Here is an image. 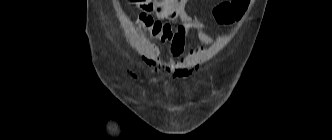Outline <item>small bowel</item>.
<instances>
[{"mask_svg":"<svg viewBox=\"0 0 332 140\" xmlns=\"http://www.w3.org/2000/svg\"><path fill=\"white\" fill-rule=\"evenodd\" d=\"M188 0H178L174 5L181 23L176 31L170 35L155 37L161 43H169V58L167 60L154 59L151 63L155 71H162L169 78L181 79L186 77L188 69L183 62L186 42L189 36L194 32L198 39L206 44H214L215 40L206 32V24L196 15L189 14L186 11ZM160 19L170 18L167 13L157 12Z\"/></svg>","mask_w":332,"mask_h":140,"instance_id":"1","label":"small bowel"}]
</instances>
